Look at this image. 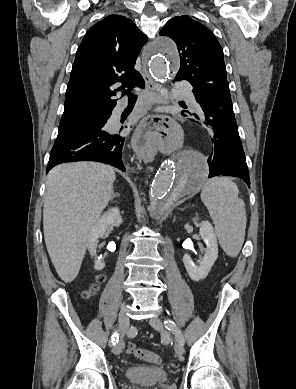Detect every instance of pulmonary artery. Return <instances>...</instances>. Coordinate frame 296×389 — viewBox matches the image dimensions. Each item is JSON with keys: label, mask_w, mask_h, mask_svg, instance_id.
<instances>
[{"label": "pulmonary artery", "mask_w": 296, "mask_h": 389, "mask_svg": "<svg viewBox=\"0 0 296 389\" xmlns=\"http://www.w3.org/2000/svg\"><path fill=\"white\" fill-rule=\"evenodd\" d=\"M180 90L183 94V96L185 97V99L193 106H197V103H196V100L190 90L189 87L185 86V85H180Z\"/></svg>", "instance_id": "1"}]
</instances>
